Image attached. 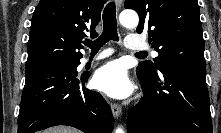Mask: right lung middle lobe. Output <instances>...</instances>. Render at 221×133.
I'll return each mask as SVG.
<instances>
[{
  "label": "right lung middle lobe",
  "instance_id": "obj_1",
  "mask_svg": "<svg viewBox=\"0 0 221 133\" xmlns=\"http://www.w3.org/2000/svg\"><path fill=\"white\" fill-rule=\"evenodd\" d=\"M77 63H79V62H69L68 66L75 67L77 65Z\"/></svg>",
  "mask_w": 221,
  "mask_h": 133
}]
</instances>
